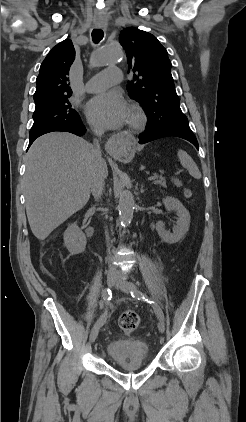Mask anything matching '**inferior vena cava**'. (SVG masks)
<instances>
[{"instance_id":"inferior-vena-cava-1","label":"inferior vena cava","mask_w":246,"mask_h":422,"mask_svg":"<svg viewBox=\"0 0 246 422\" xmlns=\"http://www.w3.org/2000/svg\"><path fill=\"white\" fill-rule=\"evenodd\" d=\"M94 133L97 137H100L104 131L101 129H94ZM91 154L94 158V167L92 171L91 177V192L96 201H98L103 193L104 190V180L106 178V174L102 168L103 159L101 157V151L99 146V141L94 139V146L91 150ZM106 239L108 241V234L106 235ZM108 252L110 254V248H108ZM111 260V257L108 258ZM110 272L117 273V269L110 265L109 267Z\"/></svg>"}]
</instances>
